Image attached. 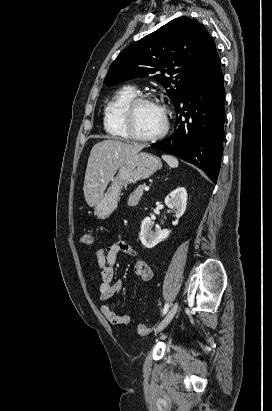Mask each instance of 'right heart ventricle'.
<instances>
[{
	"label": "right heart ventricle",
	"instance_id": "obj_1",
	"mask_svg": "<svg viewBox=\"0 0 272 411\" xmlns=\"http://www.w3.org/2000/svg\"><path fill=\"white\" fill-rule=\"evenodd\" d=\"M135 96L136 90L134 87L124 86L107 103L104 108L103 123L109 135L121 139L128 138L122 123V112L125 105Z\"/></svg>",
	"mask_w": 272,
	"mask_h": 411
}]
</instances>
